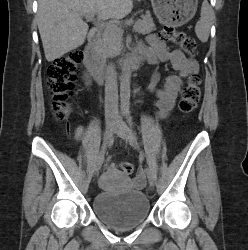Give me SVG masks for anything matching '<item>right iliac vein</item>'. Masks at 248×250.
I'll return each mask as SVG.
<instances>
[{
    "label": "right iliac vein",
    "mask_w": 248,
    "mask_h": 250,
    "mask_svg": "<svg viewBox=\"0 0 248 250\" xmlns=\"http://www.w3.org/2000/svg\"><path fill=\"white\" fill-rule=\"evenodd\" d=\"M115 125V118L109 117L106 119V126H105V134H104V141H103V154L105 153L106 146L108 141L110 140ZM104 157H98L96 164H95V175L98 174L99 170L101 169Z\"/></svg>",
    "instance_id": "right-iliac-vein-1"
}]
</instances>
